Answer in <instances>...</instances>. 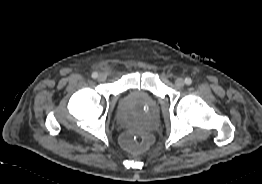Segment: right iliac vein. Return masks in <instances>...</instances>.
Returning a JSON list of instances; mask_svg holds the SVG:
<instances>
[{
	"mask_svg": "<svg viewBox=\"0 0 262 184\" xmlns=\"http://www.w3.org/2000/svg\"><path fill=\"white\" fill-rule=\"evenodd\" d=\"M106 79H107L106 74H104V73L99 74L98 80H99L100 82H104Z\"/></svg>",
	"mask_w": 262,
	"mask_h": 184,
	"instance_id": "1",
	"label": "right iliac vein"
}]
</instances>
